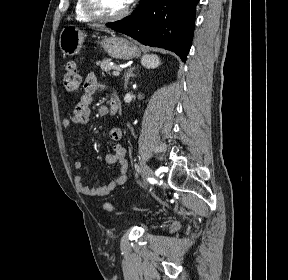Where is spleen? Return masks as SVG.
Masks as SVG:
<instances>
[{
    "mask_svg": "<svg viewBox=\"0 0 288 280\" xmlns=\"http://www.w3.org/2000/svg\"><path fill=\"white\" fill-rule=\"evenodd\" d=\"M161 64L160 58L155 54H148L142 57V65L148 69L156 68Z\"/></svg>",
    "mask_w": 288,
    "mask_h": 280,
    "instance_id": "spleen-1",
    "label": "spleen"
}]
</instances>
